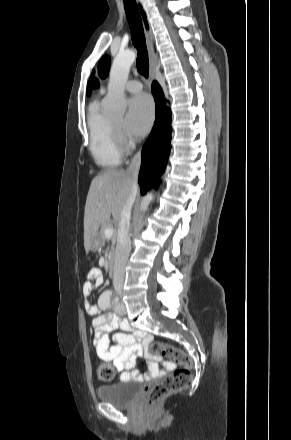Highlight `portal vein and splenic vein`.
<instances>
[{
  "label": "portal vein and splenic vein",
  "instance_id": "1",
  "mask_svg": "<svg viewBox=\"0 0 291 440\" xmlns=\"http://www.w3.org/2000/svg\"><path fill=\"white\" fill-rule=\"evenodd\" d=\"M113 234H114V229H113L112 226L106 228V230H105V236H106V237H112Z\"/></svg>",
  "mask_w": 291,
  "mask_h": 440
}]
</instances>
